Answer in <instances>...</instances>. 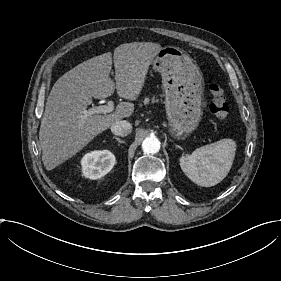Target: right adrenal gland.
Listing matches in <instances>:
<instances>
[{
	"instance_id": "2a0ac1e0",
	"label": "right adrenal gland",
	"mask_w": 281,
	"mask_h": 281,
	"mask_svg": "<svg viewBox=\"0 0 281 281\" xmlns=\"http://www.w3.org/2000/svg\"><path fill=\"white\" fill-rule=\"evenodd\" d=\"M113 139L117 140L120 144H124L125 141L120 139L119 137L113 136Z\"/></svg>"
}]
</instances>
